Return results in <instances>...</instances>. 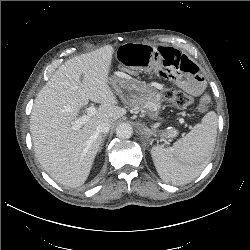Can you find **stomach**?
<instances>
[{
	"instance_id": "obj_1",
	"label": "stomach",
	"mask_w": 250,
	"mask_h": 250,
	"mask_svg": "<svg viewBox=\"0 0 250 250\" xmlns=\"http://www.w3.org/2000/svg\"><path fill=\"white\" fill-rule=\"evenodd\" d=\"M109 84H111L123 98L140 109L147 111L150 116L154 118L158 117L159 110L161 109V94L152 84L145 81L118 84L113 80L109 81ZM175 135L176 131L173 129H168L163 132V136L168 138L174 137Z\"/></svg>"
}]
</instances>
